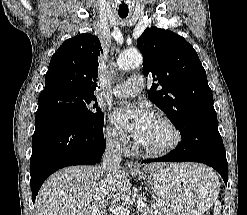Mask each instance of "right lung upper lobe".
Here are the masks:
<instances>
[{
  "label": "right lung upper lobe",
  "instance_id": "right-lung-upper-lobe-1",
  "mask_svg": "<svg viewBox=\"0 0 247 215\" xmlns=\"http://www.w3.org/2000/svg\"><path fill=\"white\" fill-rule=\"evenodd\" d=\"M102 52L98 37L89 33L64 41L51 58L44 90L68 88L94 95Z\"/></svg>",
  "mask_w": 247,
  "mask_h": 215
}]
</instances>
